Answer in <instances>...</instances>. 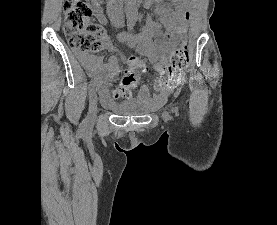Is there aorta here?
<instances>
[{
    "mask_svg": "<svg viewBox=\"0 0 277 225\" xmlns=\"http://www.w3.org/2000/svg\"><path fill=\"white\" fill-rule=\"evenodd\" d=\"M125 11L129 21H135L138 17L136 0H125Z\"/></svg>",
    "mask_w": 277,
    "mask_h": 225,
    "instance_id": "aorta-1",
    "label": "aorta"
}]
</instances>
